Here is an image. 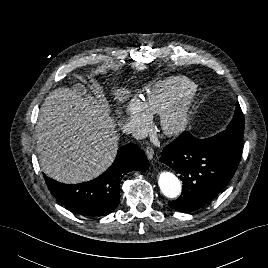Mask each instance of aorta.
<instances>
[{
    "label": "aorta",
    "instance_id": "aorta-1",
    "mask_svg": "<svg viewBox=\"0 0 268 268\" xmlns=\"http://www.w3.org/2000/svg\"><path fill=\"white\" fill-rule=\"evenodd\" d=\"M158 184L161 192L168 198H176L181 193V183L171 172H160L158 176Z\"/></svg>",
    "mask_w": 268,
    "mask_h": 268
}]
</instances>
